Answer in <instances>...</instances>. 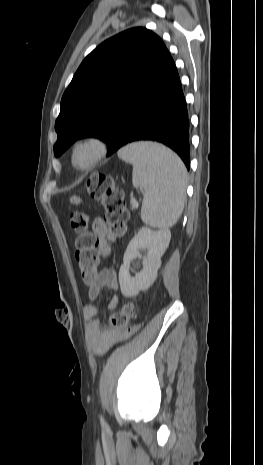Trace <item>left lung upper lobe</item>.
I'll list each match as a JSON object with an SVG mask.
<instances>
[{
	"mask_svg": "<svg viewBox=\"0 0 263 465\" xmlns=\"http://www.w3.org/2000/svg\"><path fill=\"white\" fill-rule=\"evenodd\" d=\"M165 49L155 33L142 27L121 32L96 47L63 94L55 123V156L84 137L109 144L138 81Z\"/></svg>",
	"mask_w": 263,
	"mask_h": 465,
	"instance_id": "5c2ea615",
	"label": "left lung upper lobe"
}]
</instances>
